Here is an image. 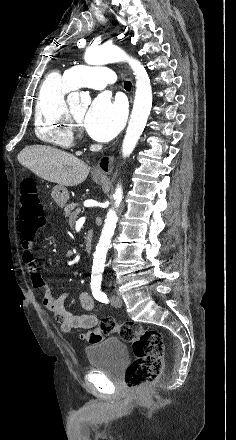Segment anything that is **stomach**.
I'll use <instances>...</instances> for the list:
<instances>
[{
	"mask_svg": "<svg viewBox=\"0 0 236 440\" xmlns=\"http://www.w3.org/2000/svg\"><path fill=\"white\" fill-rule=\"evenodd\" d=\"M93 180L96 183L100 184V183L104 182L105 177L104 176H96V175H94L93 176ZM51 196H52L53 200L55 201V203L59 207L63 208L66 205V203H67V201L69 199V192H68V190L65 187L58 185V186H55L53 188Z\"/></svg>",
	"mask_w": 236,
	"mask_h": 440,
	"instance_id": "obj_1",
	"label": "stomach"
}]
</instances>
